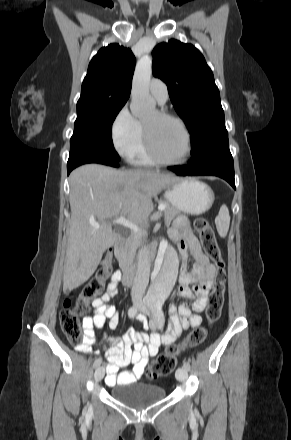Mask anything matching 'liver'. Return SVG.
<instances>
[{"instance_id": "6515ba94", "label": "liver", "mask_w": 291, "mask_h": 440, "mask_svg": "<svg viewBox=\"0 0 291 440\" xmlns=\"http://www.w3.org/2000/svg\"><path fill=\"white\" fill-rule=\"evenodd\" d=\"M178 179L150 170L120 171L99 164L74 170L70 175L71 219L63 290L85 283L106 249L120 238L109 225L110 219L122 215L135 224L145 222L154 208L152 198Z\"/></svg>"}]
</instances>
